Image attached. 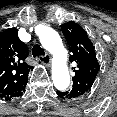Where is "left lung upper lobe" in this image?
<instances>
[{
  "label": "left lung upper lobe",
  "mask_w": 117,
  "mask_h": 117,
  "mask_svg": "<svg viewBox=\"0 0 117 117\" xmlns=\"http://www.w3.org/2000/svg\"><path fill=\"white\" fill-rule=\"evenodd\" d=\"M61 30L69 44L70 61L77 63V67L72 68L75 76L72 78V89L66 92L67 98H80L91 89L100 66L93 43L79 24L70 21L62 24Z\"/></svg>",
  "instance_id": "left-lung-upper-lobe-1"
}]
</instances>
